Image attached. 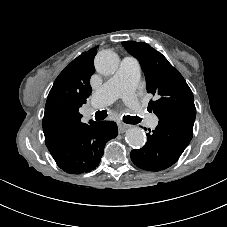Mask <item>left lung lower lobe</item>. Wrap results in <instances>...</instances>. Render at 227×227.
I'll return each instance as SVG.
<instances>
[{"label": "left lung lower lobe", "mask_w": 227, "mask_h": 227, "mask_svg": "<svg viewBox=\"0 0 227 227\" xmlns=\"http://www.w3.org/2000/svg\"><path fill=\"white\" fill-rule=\"evenodd\" d=\"M192 136L193 134L185 129L159 122L155 130L147 134L144 147L131 151V160L144 170L166 169L179 159Z\"/></svg>", "instance_id": "1"}]
</instances>
